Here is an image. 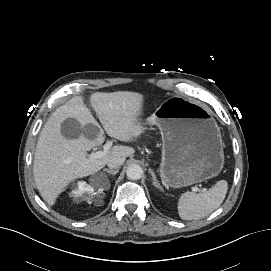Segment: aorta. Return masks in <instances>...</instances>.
Instances as JSON below:
<instances>
[{"label": "aorta", "instance_id": "aorta-1", "mask_svg": "<svg viewBox=\"0 0 271 271\" xmlns=\"http://www.w3.org/2000/svg\"><path fill=\"white\" fill-rule=\"evenodd\" d=\"M127 177L131 180H138L143 175V169L138 164H132L128 166L126 170Z\"/></svg>", "mask_w": 271, "mask_h": 271}]
</instances>
